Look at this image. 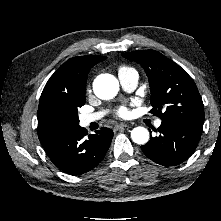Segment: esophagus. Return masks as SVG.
Listing matches in <instances>:
<instances>
[{"label":"esophagus","mask_w":221,"mask_h":221,"mask_svg":"<svg viewBox=\"0 0 221 221\" xmlns=\"http://www.w3.org/2000/svg\"><path fill=\"white\" fill-rule=\"evenodd\" d=\"M126 128H130V125H127V124H118L115 126V130H123V129H126Z\"/></svg>","instance_id":"obj_1"}]
</instances>
